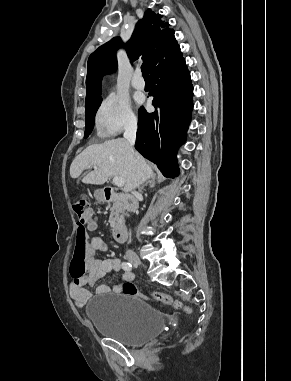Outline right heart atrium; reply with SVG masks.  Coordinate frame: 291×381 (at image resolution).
Instances as JSON below:
<instances>
[{
    "label": "right heart atrium",
    "instance_id": "d8ad5b80",
    "mask_svg": "<svg viewBox=\"0 0 291 381\" xmlns=\"http://www.w3.org/2000/svg\"><path fill=\"white\" fill-rule=\"evenodd\" d=\"M95 124L101 136L111 137L135 128L137 118L127 99L110 95L99 105L95 114Z\"/></svg>",
    "mask_w": 291,
    "mask_h": 381
}]
</instances>
